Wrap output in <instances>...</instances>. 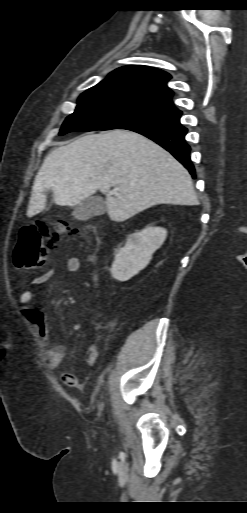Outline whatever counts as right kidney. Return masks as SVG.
I'll use <instances>...</instances> for the list:
<instances>
[{
    "label": "right kidney",
    "instance_id": "right-kidney-1",
    "mask_svg": "<svg viewBox=\"0 0 247 513\" xmlns=\"http://www.w3.org/2000/svg\"><path fill=\"white\" fill-rule=\"evenodd\" d=\"M167 236L161 227H147L127 238L120 248L111 268L112 276L119 281H127L144 269L152 259V254L160 248Z\"/></svg>",
    "mask_w": 247,
    "mask_h": 513
}]
</instances>
